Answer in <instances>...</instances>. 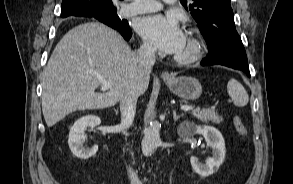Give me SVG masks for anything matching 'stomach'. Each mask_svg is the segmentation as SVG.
I'll return each instance as SVG.
<instances>
[{
  "label": "stomach",
  "instance_id": "stomach-1",
  "mask_svg": "<svg viewBox=\"0 0 293 184\" xmlns=\"http://www.w3.org/2000/svg\"><path fill=\"white\" fill-rule=\"evenodd\" d=\"M165 83L175 95L186 100H195L202 94L200 82L193 77H175L165 80Z\"/></svg>",
  "mask_w": 293,
  "mask_h": 184
}]
</instances>
